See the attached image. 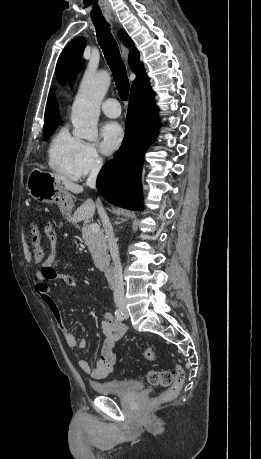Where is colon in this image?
<instances>
[{
	"mask_svg": "<svg viewBox=\"0 0 261 459\" xmlns=\"http://www.w3.org/2000/svg\"><path fill=\"white\" fill-rule=\"evenodd\" d=\"M27 228V229H26ZM26 228L21 230L23 235L30 234L29 242L31 243L32 255L35 259L46 261L51 258L50 254L46 253V248L43 246V241L40 236V229L35 222H28ZM145 357L149 360L156 358V352L149 347L145 350ZM148 381L156 386L168 387L157 399V402H164L174 399L180 392L184 382V371L180 366H176L173 370H156L151 369L147 373Z\"/></svg>",
	"mask_w": 261,
	"mask_h": 459,
	"instance_id": "obj_1",
	"label": "colon"
}]
</instances>
